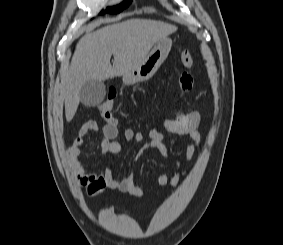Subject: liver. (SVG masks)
I'll return each mask as SVG.
<instances>
[{"instance_id": "6515ba94", "label": "liver", "mask_w": 283, "mask_h": 245, "mask_svg": "<svg viewBox=\"0 0 283 245\" xmlns=\"http://www.w3.org/2000/svg\"><path fill=\"white\" fill-rule=\"evenodd\" d=\"M175 30V26L161 21L130 19L85 34L76 45L63 81L66 120L73 119L86 81L124 76L143 62L155 43Z\"/></svg>"}]
</instances>
